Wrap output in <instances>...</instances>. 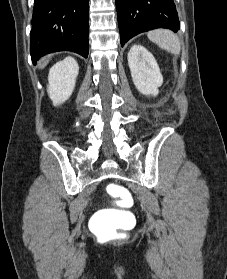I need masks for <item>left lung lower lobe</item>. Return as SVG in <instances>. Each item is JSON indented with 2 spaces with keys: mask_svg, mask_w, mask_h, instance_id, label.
<instances>
[{
  "mask_svg": "<svg viewBox=\"0 0 227 279\" xmlns=\"http://www.w3.org/2000/svg\"><path fill=\"white\" fill-rule=\"evenodd\" d=\"M121 46L135 35L156 28H180L173 0H116Z\"/></svg>",
  "mask_w": 227,
  "mask_h": 279,
  "instance_id": "0a47b994",
  "label": "left lung lower lobe"
}]
</instances>
